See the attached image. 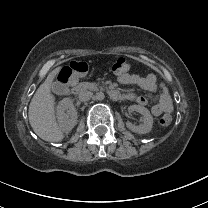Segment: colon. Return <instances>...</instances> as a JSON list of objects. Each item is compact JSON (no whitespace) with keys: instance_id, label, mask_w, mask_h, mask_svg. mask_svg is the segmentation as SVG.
Returning a JSON list of instances; mask_svg holds the SVG:
<instances>
[{"instance_id":"obj_1","label":"colon","mask_w":208,"mask_h":208,"mask_svg":"<svg viewBox=\"0 0 208 208\" xmlns=\"http://www.w3.org/2000/svg\"><path fill=\"white\" fill-rule=\"evenodd\" d=\"M70 68L75 73H85L87 71V63L82 60L73 61ZM135 68L133 62L125 57L118 58L111 66V72L115 75H124L133 71ZM172 123V116L169 113L163 114L159 119V124L162 127H168Z\"/></svg>"}]
</instances>
